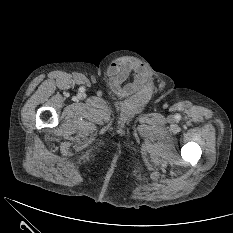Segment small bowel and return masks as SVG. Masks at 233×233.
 Returning a JSON list of instances; mask_svg holds the SVG:
<instances>
[{
  "instance_id": "obj_1",
  "label": "small bowel",
  "mask_w": 233,
  "mask_h": 233,
  "mask_svg": "<svg viewBox=\"0 0 233 233\" xmlns=\"http://www.w3.org/2000/svg\"><path fill=\"white\" fill-rule=\"evenodd\" d=\"M107 75L112 91L118 96L137 93L147 83L146 66L135 58L121 57L111 63Z\"/></svg>"
}]
</instances>
